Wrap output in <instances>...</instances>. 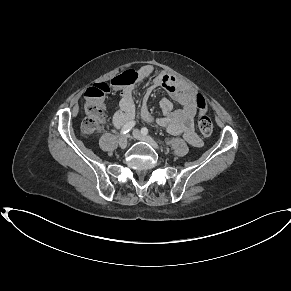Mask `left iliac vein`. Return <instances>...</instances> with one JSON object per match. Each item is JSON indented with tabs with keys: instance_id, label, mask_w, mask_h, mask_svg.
Listing matches in <instances>:
<instances>
[{
	"instance_id": "obj_1",
	"label": "left iliac vein",
	"mask_w": 291,
	"mask_h": 291,
	"mask_svg": "<svg viewBox=\"0 0 291 291\" xmlns=\"http://www.w3.org/2000/svg\"><path fill=\"white\" fill-rule=\"evenodd\" d=\"M133 136L140 141L149 143L153 148L159 149L158 144L151 137L143 135L139 130H134Z\"/></svg>"
}]
</instances>
